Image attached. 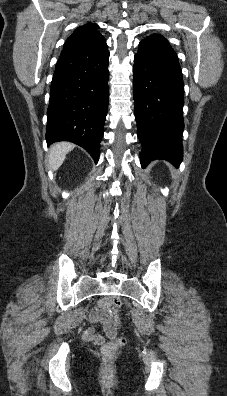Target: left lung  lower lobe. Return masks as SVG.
I'll list each match as a JSON object with an SVG mask.
<instances>
[{"label": "left lung lower lobe", "instance_id": "obj_1", "mask_svg": "<svg viewBox=\"0 0 227 396\" xmlns=\"http://www.w3.org/2000/svg\"><path fill=\"white\" fill-rule=\"evenodd\" d=\"M133 92L142 167L155 159L178 165L183 158L184 84L177 54L164 37L140 42Z\"/></svg>", "mask_w": 227, "mask_h": 396}]
</instances>
